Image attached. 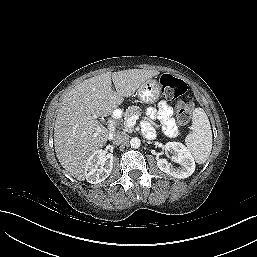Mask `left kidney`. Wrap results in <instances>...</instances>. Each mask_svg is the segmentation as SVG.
I'll return each instance as SVG.
<instances>
[{"mask_svg":"<svg viewBox=\"0 0 257 257\" xmlns=\"http://www.w3.org/2000/svg\"><path fill=\"white\" fill-rule=\"evenodd\" d=\"M165 151L172 153V161L180 164L174 167L166 159H159L157 167L174 178L184 179L191 176L195 171V162L189 150L179 142H168L165 144Z\"/></svg>","mask_w":257,"mask_h":257,"instance_id":"left-kidney-1","label":"left kidney"}]
</instances>
